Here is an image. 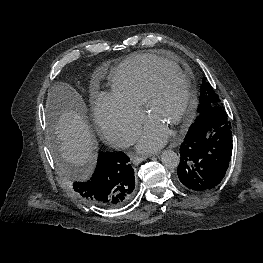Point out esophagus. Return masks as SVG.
I'll return each mask as SVG.
<instances>
[{
    "instance_id": "1",
    "label": "esophagus",
    "mask_w": 263,
    "mask_h": 263,
    "mask_svg": "<svg viewBox=\"0 0 263 263\" xmlns=\"http://www.w3.org/2000/svg\"><path fill=\"white\" fill-rule=\"evenodd\" d=\"M151 156V155H150ZM147 157L146 156H137V155H133L131 157L132 162L135 165H138L139 163H141L143 160H145Z\"/></svg>"
}]
</instances>
